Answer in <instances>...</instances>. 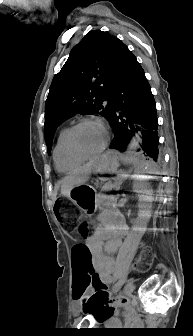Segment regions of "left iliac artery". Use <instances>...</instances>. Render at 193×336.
Returning a JSON list of instances; mask_svg holds the SVG:
<instances>
[{"mask_svg":"<svg viewBox=\"0 0 193 336\" xmlns=\"http://www.w3.org/2000/svg\"><path fill=\"white\" fill-rule=\"evenodd\" d=\"M121 285H122V282H118V283L114 286L113 291H114V292L118 291V290L120 289Z\"/></svg>","mask_w":193,"mask_h":336,"instance_id":"obj_1","label":"left iliac artery"}]
</instances>
